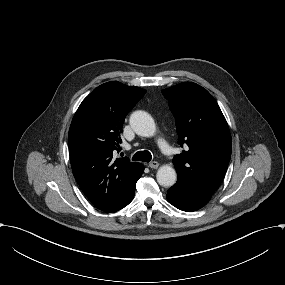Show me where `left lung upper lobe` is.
<instances>
[{
	"instance_id": "1",
	"label": "left lung upper lobe",
	"mask_w": 285,
	"mask_h": 285,
	"mask_svg": "<svg viewBox=\"0 0 285 285\" xmlns=\"http://www.w3.org/2000/svg\"><path fill=\"white\" fill-rule=\"evenodd\" d=\"M176 119L179 144L186 151L173 158L181 180L212 195L222 182L231 156V135L216 100L190 82L164 89Z\"/></svg>"
}]
</instances>
